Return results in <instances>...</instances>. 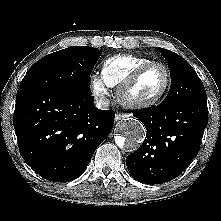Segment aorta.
Here are the masks:
<instances>
[{
  "mask_svg": "<svg viewBox=\"0 0 221 221\" xmlns=\"http://www.w3.org/2000/svg\"><path fill=\"white\" fill-rule=\"evenodd\" d=\"M118 130L120 134L115 137L116 144L127 152L136 151L146 135L143 124L132 118L119 123Z\"/></svg>",
  "mask_w": 221,
  "mask_h": 221,
  "instance_id": "762f6f07",
  "label": "aorta"
}]
</instances>
